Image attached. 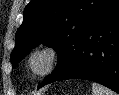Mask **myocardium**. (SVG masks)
Listing matches in <instances>:
<instances>
[{"instance_id":"myocardium-1","label":"myocardium","mask_w":119,"mask_h":95,"mask_svg":"<svg viewBox=\"0 0 119 95\" xmlns=\"http://www.w3.org/2000/svg\"><path fill=\"white\" fill-rule=\"evenodd\" d=\"M38 56L45 57L44 65L36 69L33 66V61ZM60 59L59 48L52 43H42L35 46L29 53L26 61V66L29 72L37 77H45L53 72Z\"/></svg>"}]
</instances>
